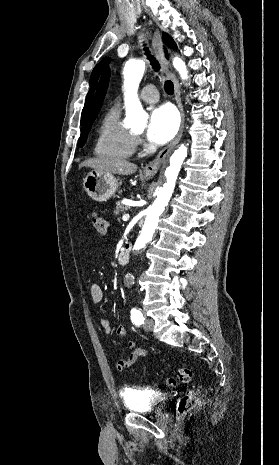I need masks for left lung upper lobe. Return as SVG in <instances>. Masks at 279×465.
<instances>
[{
	"label": "left lung upper lobe",
	"mask_w": 279,
	"mask_h": 465,
	"mask_svg": "<svg viewBox=\"0 0 279 465\" xmlns=\"http://www.w3.org/2000/svg\"><path fill=\"white\" fill-rule=\"evenodd\" d=\"M163 40L164 42L166 43V45L170 48H176V44L175 42L173 41V39L166 33L163 34ZM108 62V59L106 60H103L102 62H100L93 70L92 74H91V78H90V90L87 94V98H86V102H85V106L83 108V111H82V120H84L85 118V115L88 111V108H89V105H90V102H91V98L93 96V92L95 90V87H96V83H97V80H98V77L104 67V65Z\"/></svg>",
	"instance_id": "1"
}]
</instances>
